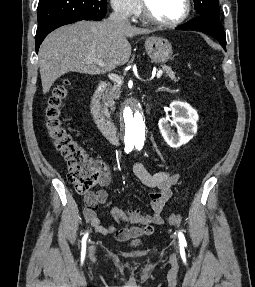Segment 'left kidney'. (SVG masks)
Returning a JSON list of instances; mask_svg holds the SVG:
<instances>
[{
	"label": "left kidney",
	"mask_w": 255,
	"mask_h": 287,
	"mask_svg": "<svg viewBox=\"0 0 255 287\" xmlns=\"http://www.w3.org/2000/svg\"><path fill=\"white\" fill-rule=\"evenodd\" d=\"M170 110L172 112V120L161 118L159 120L160 132L170 147H180L187 144L197 132V120L199 116L186 102H171ZM172 126L177 128V132L171 130Z\"/></svg>",
	"instance_id": "left-kidney-1"
}]
</instances>
